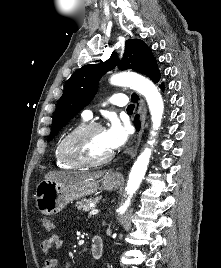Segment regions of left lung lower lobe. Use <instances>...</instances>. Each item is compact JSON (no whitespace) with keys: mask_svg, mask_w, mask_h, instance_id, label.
<instances>
[{"mask_svg":"<svg viewBox=\"0 0 221 268\" xmlns=\"http://www.w3.org/2000/svg\"><path fill=\"white\" fill-rule=\"evenodd\" d=\"M160 87H161V89L163 90V89H164V84L162 83V84L160 85ZM131 100H132L134 103H136V102L138 101V96H137V95L132 96V97H131ZM135 124H136V127L139 129V127H140L139 115H136V117H135Z\"/></svg>","mask_w":221,"mask_h":268,"instance_id":"left-lung-lower-lobe-1","label":"left lung lower lobe"}]
</instances>
